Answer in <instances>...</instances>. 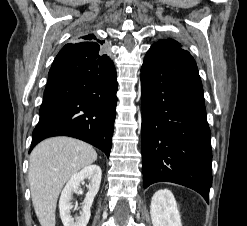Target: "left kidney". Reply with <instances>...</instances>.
Here are the masks:
<instances>
[{
	"label": "left kidney",
	"instance_id": "1",
	"mask_svg": "<svg viewBox=\"0 0 247 226\" xmlns=\"http://www.w3.org/2000/svg\"><path fill=\"white\" fill-rule=\"evenodd\" d=\"M150 214L153 226H182L176 200L168 189L154 193Z\"/></svg>",
	"mask_w": 247,
	"mask_h": 226
}]
</instances>
